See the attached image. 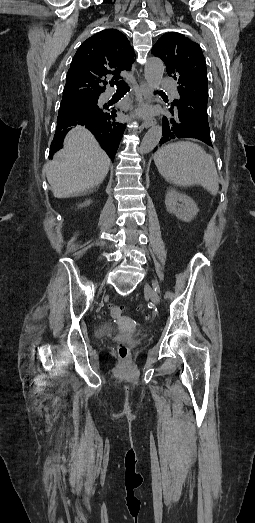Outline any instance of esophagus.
<instances>
[{
    "label": "esophagus",
    "instance_id": "34e87169",
    "mask_svg": "<svg viewBox=\"0 0 255 523\" xmlns=\"http://www.w3.org/2000/svg\"><path fill=\"white\" fill-rule=\"evenodd\" d=\"M139 85H140V90H141V93L143 94L144 99L148 103H151L152 88L145 81H143L142 79H139ZM133 116L135 118H141V117L144 118V126H145V128L151 127L156 122L154 117L146 116L145 110L140 105L133 112Z\"/></svg>",
    "mask_w": 255,
    "mask_h": 523
}]
</instances>
